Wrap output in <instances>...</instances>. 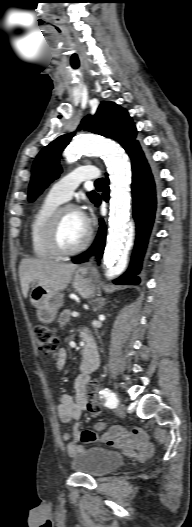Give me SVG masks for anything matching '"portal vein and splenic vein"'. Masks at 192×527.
Listing matches in <instances>:
<instances>
[{
  "label": "portal vein and splenic vein",
  "mask_w": 192,
  "mask_h": 527,
  "mask_svg": "<svg viewBox=\"0 0 192 527\" xmlns=\"http://www.w3.org/2000/svg\"><path fill=\"white\" fill-rule=\"evenodd\" d=\"M71 316H72V317H78V316H79V313H77V312H73V313L71 314Z\"/></svg>",
  "instance_id": "obj_1"
}]
</instances>
